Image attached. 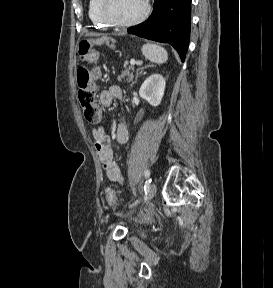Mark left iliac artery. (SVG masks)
Segmentation results:
<instances>
[{"label":"left iliac artery","instance_id":"44dca946","mask_svg":"<svg viewBox=\"0 0 273 288\" xmlns=\"http://www.w3.org/2000/svg\"><path fill=\"white\" fill-rule=\"evenodd\" d=\"M144 176H145L146 179H149V177H150V171H149L148 169L145 170ZM148 181L151 182V179H149Z\"/></svg>","mask_w":273,"mask_h":288}]
</instances>
